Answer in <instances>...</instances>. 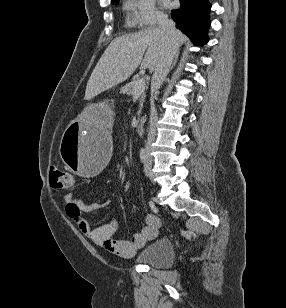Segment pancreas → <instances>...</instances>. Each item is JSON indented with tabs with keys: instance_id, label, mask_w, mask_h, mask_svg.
<instances>
[{
	"instance_id": "cf45deb5",
	"label": "pancreas",
	"mask_w": 286,
	"mask_h": 308,
	"mask_svg": "<svg viewBox=\"0 0 286 308\" xmlns=\"http://www.w3.org/2000/svg\"><path fill=\"white\" fill-rule=\"evenodd\" d=\"M140 80L139 77H135L130 83L126 84L124 87L121 88L122 94H127L129 96L134 95V86ZM145 99L144 91L140 94V105L142 107L143 101Z\"/></svg>"
}]
</instances>
